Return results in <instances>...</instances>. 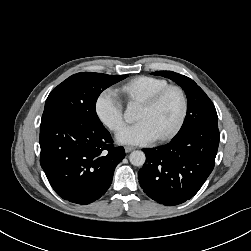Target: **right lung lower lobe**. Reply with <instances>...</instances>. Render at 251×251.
<instances>
[{
  "instance_id": "1",
  "label": "right lung lower lobe",
  "mask_w": 251,
  "mask_h": 251,
  "mask_svg": "<svg viewBox=\"0 0 251 251\" xmlns=\"http://www.w3.org/2000/svg\"><path fill=\"white\" fill-rule=\"evenodd\" d=\"M101 124L60 115L41 121L40 164L54 191L76 204H89L109 188L115 167L125 157L113 147Z\"/></svg>"
}]
</instances>
